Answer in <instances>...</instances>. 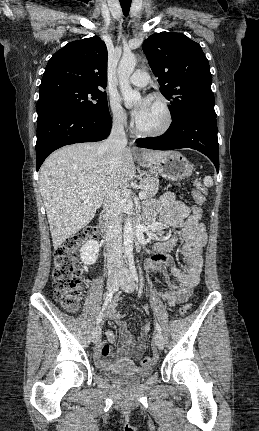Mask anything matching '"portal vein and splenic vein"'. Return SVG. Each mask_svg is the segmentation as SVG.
Wrapping results in <instances>:
<instances>
[{
    "mask_svg": "<svg viewBox=\"0 0 259 431\" xmlns=\"http://www.w3.org/2000/svg\"><path fill=\"white\" fill-rule=\"evenodd\" d=\"M95 189L96 188L94 186H91V187L87 188L86 191L87 192H93V191H95ZM123 193L126 194V195H130V194H132V191L131 190H124ZM139 197L140 198H145L146 197V193L144 191L139 192Z\"/></svg>",
    "mask_w": 259,
    "mask_h": 431,
    "instance_id": "portal-vein-and-splenic-vein-1",
    "label": "portal vein and splenic vein"
}]
</instances>
